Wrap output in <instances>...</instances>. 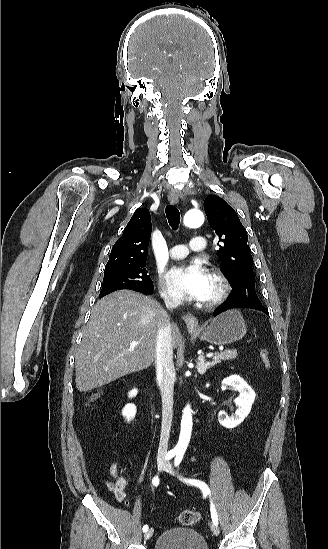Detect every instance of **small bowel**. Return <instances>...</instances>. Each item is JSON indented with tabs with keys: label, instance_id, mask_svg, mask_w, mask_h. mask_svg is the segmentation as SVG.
I'll list each match as a JSON object with an SVG mask.
<instances>
[{
	"label": "small bowel",
	"instance_id": "c3829d8e",
	"mask_svg": "<svg viewBox=\"0 0 328 549\" xmlns=\"http://www.w3.org/2000/svg\"><path fill=\"white\" fill-rule=\"evenodd\" d=\"M109 474L114 479V481L109 484L110 490L118 502L125 501V489L128 484L127 477L121 472L117 463H111L109 465Z\"/></svg>",
	"mask_w": 328,
	"mask_h": 549
}]
</instances>
